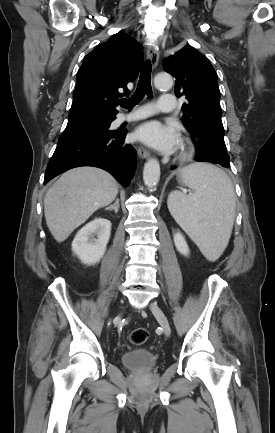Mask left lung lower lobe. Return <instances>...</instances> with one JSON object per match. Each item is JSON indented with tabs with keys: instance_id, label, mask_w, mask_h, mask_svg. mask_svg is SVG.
Wrapping results in <instances>:
<instances>
[{
	"instance_id": "0a47b994",
	"label": "left lung lower lobe",
	"mask_w": 275,
	"mask_h": 433,
	"mask_svg": "<svg viewBox=\"0 0 275 433\" xmlns=\"http://www.w3.org/2000/svg\"><path fill=\"white\" fill-rule=\"evenodd\" d=\"M221 166L228 168L229 167V163L228 164H223Z\"/></svg>"
}]
</instances>
